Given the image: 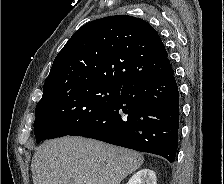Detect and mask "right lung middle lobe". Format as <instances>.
<instances>
[{
  "label": "right lung middle lobe",
  "mask_w": 224,
  "mask_h": 184,
  "mask_svg": "<svg viewBox=\"0 0 224 184\" xmlns=\"http://www.w3.org/2000/svg\"><path fill=\"white\" fill-rule=\"evenodd\" d=\"M124 85L81 83L40 101L35 109L36 142L69 135L105 111Z\"/></svg>",
  "instance_id": "dd1d6c3e"
}]
</instances>
